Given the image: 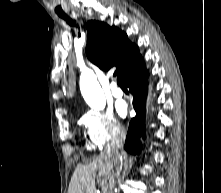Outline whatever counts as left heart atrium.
I'll use <instances>...</instances> for the list:
<instances>
[{
	"instance_id": "obj_1",
	"label": "left heart atrium",
	"mask_w": 221,
	"mask_h": 193,
	"mask_svg": "<svg viewBox=\"0 0 221 193\" xmlns=\"http://www.w3.org/2000/svg\"><path fill=\"white\" fill-rule=\"evenodd\" d=\"M118 111H119V114L121 116H126V114H127V106L124 103L120 104L119 107H118Z\"/></svg>"
}]
</instances>
